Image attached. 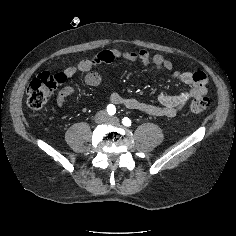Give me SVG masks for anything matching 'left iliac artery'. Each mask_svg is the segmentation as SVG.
Wrapping results in <instances>:
<instances>
[{
    "mask_svg": "<svg viewBox=\"0 0 236 236\" xmlns=\"http://www.w3.org/2000/svg\"><path fill=\"white\" fill-rule=\"evenodd\" d=\"M122 123H123V125L128 126V127L131 126V124H132L131 120L127 117H124L122 119Z\"/></svg>",
    "mask_w": 236,
    "mask_h": 236,
    "instance_id": "obj_1",
    "label": "left iliac artery"
}]
</instances>
